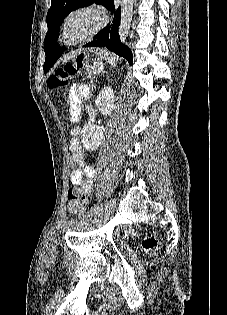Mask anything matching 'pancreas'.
Masks as SVG:
<instances>
[{"label": "pancreas", "instance_id": "1", "mask_svg": "<svg viewBox=\"0 0 227 315\" xmlns=\"http://www.w3.org/2000/svg\"><path fill=\"white\" fill-rule=\"evenodd\" d=\"M86 70H87L86 74L88 75V78L90 79H94L95 75L100 72L99 66H95V65L88 66Z\"/></svg>", "mask_w": 227, "mask_h": 315}]
</instances>
